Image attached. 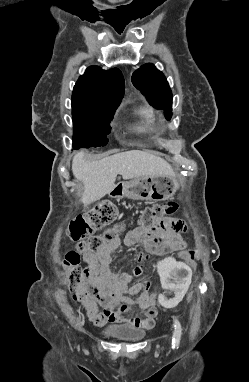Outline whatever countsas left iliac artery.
I'll list each match as a JSON object with an SVG mask.
<instances>
[{
	"instance_id": "obj_1",
	"label": "left iliac artery",
	"mask_w": 249,
	"mask_h": 382,
	"mask_svg": "<svg viewBox=\"0 0 249 382\" xmlns=\"http://www.w3.org/2000/svg\"><path fill=\"white\" fill-rule=\"evenodd\" d=\"M181 334H182L181 324L176 318H174V333H173V339H172L173 348L178 347L180 343Z\"/></svg>"
}]
</instances>
